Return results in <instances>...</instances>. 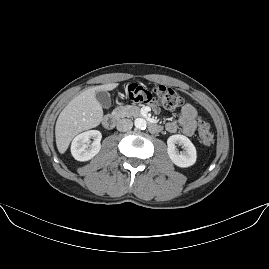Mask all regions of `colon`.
Masks as SVG:
<instances>
[{"label": "colon", "mask_w": 269, "mask_h": 269, "mask_svg": "<svg viewBox=\"0 0 269 269\" xmlns=\"http://www.w3.org/2000/svg\"><path fill=\"white\" fill-rule=\"evenodd\" d=\"M116 100L120 104L138 101L168 110H174L183 103L181 94L166 84H156L151 90L142 89L138 84L123 85L116 93ZM196 132L203 145L210 146L214 143L213 131L205 119H198Z\"/></svg>", "instance_id": "obj_1"}]
</instances>
